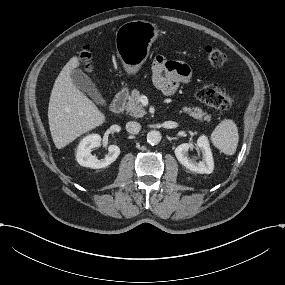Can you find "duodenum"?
Wrapping results in <instances>:
<instances>
[{
	"mask_svg": "<svg viewBox=\"0 0 285 285\" xmlns=\"http://www.w3.org/2000/svg\"><path fill=\"white\" fill-rule=\"evenodd\" d=\"M127 98H128L127 90L122 89L119 92H117L111 104V111L115 114H120L124 109V105L126 103Z\"/></svg>",
	"mask_w": 285,
	"mask_h": 285,
	"instance_id": "410a0bca",
	"label": "duodenum"
}]
</instances>
